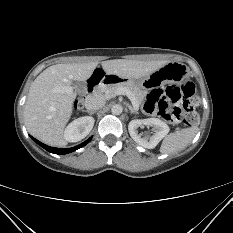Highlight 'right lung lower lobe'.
Returning <instances> with one entry per match:
<instances>
[{
	"instance_id": "right-lung-lower-lobe-1",
	"label": "right lung lower lobe",
	"mask_w": 233,
	"mask_h": 233,
	"mask_svg": "<svg viewBox=\"0 0 233 233\" xmlns=\"http://www.w3.org/2000/svg\"><path fill=\"white\" fill-rule=\"evenodd\" d=\"M31 138L37 143L39 144L41 147H43L44 149H46L47 151L51 152V153H55V154H67V153H70V152H73L77 149H79L80 147H83L85 146L88 142H90L91 138H89L88 140H86L85 142H83L82 144L80 145H77L75 147H72V148H67V149H61V148H54V147H50V146H47L43 143H41L40 141H38L37 139L33 138L31 136Z\"/></svg>"
}]
</instances>
